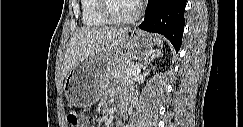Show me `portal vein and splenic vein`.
I'll use <instances>...</instances> for the list:
<instances>
[{"mask_svg":"<svg viewBox=\"0 0 243 127\" xmlns=\"http://www.w3.org/2000/svg\"><path fill=\"white\" fill-rule=\"evenodd\" d=\"M140 67H135V68H133V69H130V70H128V73L129 74H132V75H136V74H139L140 73Z\"/></svg>","mask_w":243,"mask_h":127,"instance_id":"obj_1","label":"portal vein and splenic vein"}]
</instances>
